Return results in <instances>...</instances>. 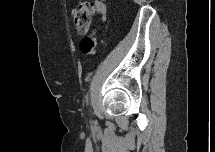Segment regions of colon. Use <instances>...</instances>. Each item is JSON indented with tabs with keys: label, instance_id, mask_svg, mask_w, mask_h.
<instances>
[{
	"label": "colon",
	"instance_id": "5ec220e1",
	"mask_svg": "<svg viewBox=\"0 0 215 152\" xmlns=\"http://www.w3.org/2000/svg\"><path fill=\"white\" fill-rule=\"evenodd\" d=\"M93 14V5L89 1L80 3L75 13V26L78 32L84 33L88 30ZM98 38L93 33L90 36L83 37L80 40V51L87 56H94L98 45Z\"/></svg>",
	"mask_w": 215,
	"mask_h": 152
}]
</instances>
